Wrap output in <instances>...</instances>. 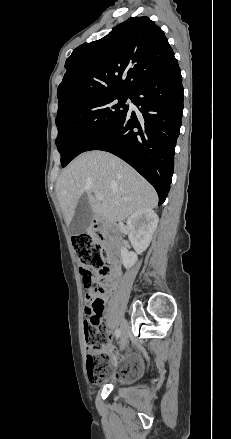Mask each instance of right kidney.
<instances>
[{"instance_id": "right-kidney-1", "label": "right kidney", "mask_w": 231, "mask_h": 439, "mask_svg": "<svg viewBox=\"0 0 231 439\" xmlns=\"http://www.w3.org/2000/svg\"><path fill=\"white\" fill-rule=\"evenodd\" d=\"M158 221L157 214L149 208L140 209L128 218V237L134 252L128 251L127 248L121 249V257L126 269L131 268L138 260V255L147 249L157 228Z\"/></svg>"}]
</instances>
